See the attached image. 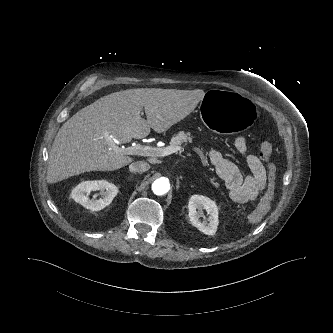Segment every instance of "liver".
Here are the masks:
<instances>
[{
  "label": "liver",
  "instance_id": "6515ba94",
  "mask_svg": "<svg viewBox=\"0 0 333 333\" xmlns=\"http://www.w3.org/2000/svg\"><path fill=\"white\" fill-rule=\"evenodd\" d=\"M204 95L201 89L138 88L101 97L59 129L49 155L48 182L128 165L133 158L114 146L146 137L150 128L157 133L167 131L188 116ZM143 108L146 120L140 116Z\"/></svg>",
  "mask_w": 333,
  "mask_h": 333
}]
</instances>
